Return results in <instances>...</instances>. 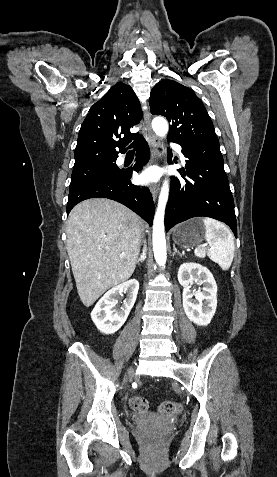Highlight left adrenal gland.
<instances>
[{
  "instance_id": "left-adrenal-gland-1",
  "label": "left adrenal gland",
  "mask_w": 277,
  "mask_h": 477,
  "mask_svg": "<svg viewBox=\"0 0 277 477\" xmlns=\"http://www.w3.org/2000/svg\"><path fill=\"white\" fill-rule=\"evenodd\" d=\"M173 250H174V252H173L172 256H174L175 254H178L180 257H182V254L177 250V248L175 247L174 244H173Z\"/></svg>"
}]
</instances>
